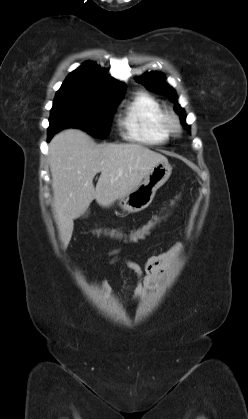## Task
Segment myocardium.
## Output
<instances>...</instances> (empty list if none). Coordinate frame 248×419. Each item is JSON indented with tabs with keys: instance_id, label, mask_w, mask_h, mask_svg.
Returning <instances> with one entry per match:
<instances>
[{
	"instance_id": "f54148a6",
	"label": "myocardium",
	"mask_w": 248,
	"mask_h": 419,
	"mask_svg": "<svg viewBox=\"0 0 248 419\" xmlns=\"http://www.w3.org/2000/svg\"><path fill=\"white\" fill-rule=\"evenodd\" d=\"M163 125L168 134L177 135L182 130L178 115L171 110L164 111Z\"/></svg>"
}]
</instances>
